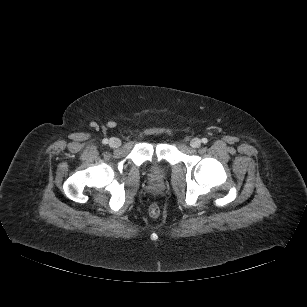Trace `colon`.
Masks as SVG:
<instances>
[{
  "label": "colon",
  "instance_id": "5ec220e1",
  "mask_svg": "<svg viewBox=\"0 0 307 307\" xmlns=\"http://www.w3.org/2000/svg\"><path fill=\"white\" fill-rule=\"evenodd\" d=\"M161 212V209H160V206L158 204H152L150 207H149V214L152 216V217H157L159 216Z\"/></svg>",
  "mask_w": 307,
  "mask_h": 307
}]
</instances>
